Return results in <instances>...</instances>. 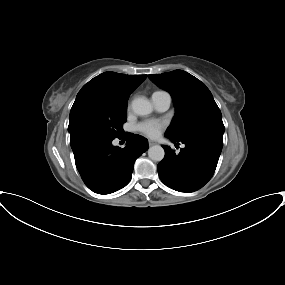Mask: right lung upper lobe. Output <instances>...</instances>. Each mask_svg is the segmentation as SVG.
Masks as SVG:
<instances>
[{
	"label": "right lung upper lobe",
	"instance_id": "obj_1",
	"mask_svg": "<svg viewBox=\"0 0 285 285\" xmlns=\"http://www.w3.org/2000/svg\"><path fill=\"white\" fill-rule=\"evenodd\" d=\"M146 77L147 75H125L115 72L102 73L82 87L71 111L80 103L89 100L118 106H127L130 93L134 91Z\"/></svg>",
	"mask_w": 285,
	"mask_h": 285
}]
</instances>
